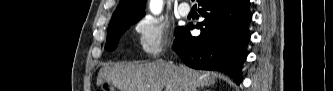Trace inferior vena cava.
<instances>
[{
  "label": "inferior vena cava",
  "mask_w": 333,
  "mask_h": 91,
  "mask_svg": "<svg viewBox=\"0 0 333 91\" xmlns=\"http://www.w3.org/2000/svg\"><path fill=\"white\" fill-rule=\"evenodd\" d=\"M185 88H186L185 91H188V90H189L187 87H185Z\"/></svg>",
  "instance_id": "inferior-vena-cava-1"
}]
</instances>
